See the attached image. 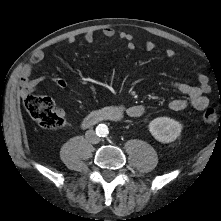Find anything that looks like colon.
Here are the masks:
<instances>
[{"instance_id": "obj_1", "label": "colon", "mask_w": 221, "mask_h": 221, "mask_svg": "<svg viewBox=\"0 0 221 221\" xmlns=\"http://www.w3.org/2000/svg\"><path fill=\"white\" fill-rule=\"evenodd\" d=\"M24 105L44 129L57 130L65 125L64 118L55 110L52 100L46 96L29 94L24 99ZM203 120L207 124H215L221 117L214 109H207L203 113Z\"/></svg>"}]
</instances>
